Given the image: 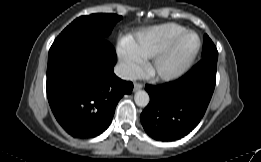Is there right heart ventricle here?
<instances>
[{"label": "right heart ventricle", "mask_w": 261, "mask_h": 162, "mask_svg": "<svg viewBox=\"0 0 261 162\" xmlns=\"http://www.w3.org/2000/svg\"><path fill=\"white\" fill-rule=\"evenodd\" d=\"M186 28L176 23H165L138 31L129 40L130 49L142 59L153 57Z\"/></svg>", "instance_id": "1"}]
</instances>
